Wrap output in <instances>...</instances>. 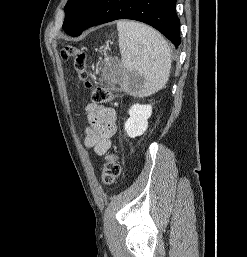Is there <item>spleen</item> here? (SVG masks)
<instances>
[{
    "mask_svg": "<svg viewBox=\"0 0 247 257\" xmlns=\"http://www.w3.org/2000/svg\"><path fill=\"white\" fill-rule=\"evenodd\" d=\"M117 30L124 82L141 77V95H151L168 81L171 51L166 40L148 25L118 21Z\"/></svg>",
    "mask_w": 247,
    "mask_h": 257,
    "instance_id": "obj_1",
    "label": "spleen"
}]
</instances>
